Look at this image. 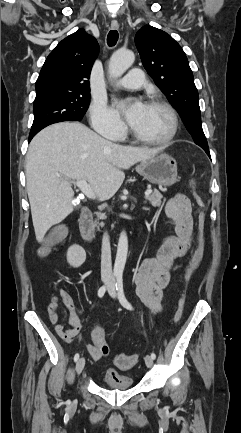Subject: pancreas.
<instances>
[{"instance_id": "pancreas-1", "label": "pancreas", "mask_w": 241, "mask_h": 433, "mask_svg": "<svg viewBox=\"0 0 241 433\" xmlns=\"http://www.w3.org/2000/svg\"><path fill=\"white\" fill-rule=\"evenodd\" d=\"M146 199L150 202V204L153 207H161L163 206L165 201V199L162 201L163 196L157 191L151 193L149 196H146ZM98 216L102 220L106 218L105 214L103 213H100ZM99 226H103V222L99 223Z\"/></svg>"}]
</instances>
